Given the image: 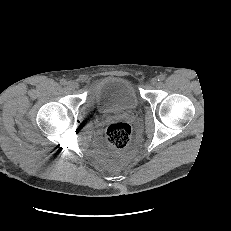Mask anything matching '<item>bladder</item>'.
I'll return each mask as SVG.
<instances>
[{
    "label": "bladder",
    "mask_w": 231,
    "mask_h": 231,
    "mask_svg": "<svg viewBox=\"0 0 231 231\" xmlns=\"http://www.w3.org/2000/svg\"><path fill=\"white\" fill-rule=\"evenodd\" d=\"M92 98L102 113L133 110L139 102L131 81L118 76H107L100 79L93 88Z\"/></svg>",
    "instance_id": "31cf9c89"
}]
</instances>
